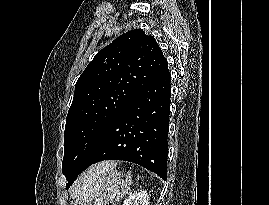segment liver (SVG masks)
<instances>
[{
  "mask_svg": "<svg viewBox=\"0 0 269 205\" xmlns=\"http://www.w3.org/2000/svg\"><path fill=\"white\" fill-rule=\"evenodd\" d=\"M116 165V162L105 161L90 167L87 172L80 175V177L76 181L75 185L72 188V197L75 198L77 196L84 195L98 177H100L105 172L114 169Z\"/></svg>",
  "mask_w": 269,
  "mask_h": 205,
  "instance_id": "obj_1",
  "label": "liver"
}]
</instances>
